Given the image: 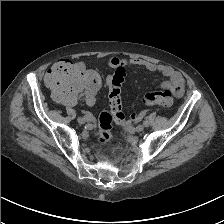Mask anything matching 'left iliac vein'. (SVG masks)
Listing matches in <instances>:
<instances>
[{"label": "left iliac vein", "mask_w": 224, "mask_h": 224, "mask_svg": "<svg viewBox=\"0 0 224 224\" xmlns=\"http://www.w3.org/2000/svg\"><path fill=\"white\" fill-rule=\"evenodd\" d=\"M135 130L136 132H142L144 130V126L140 124L135 128Z\"/></svg>", "instance_id": "obj_1"}]
</instances>
